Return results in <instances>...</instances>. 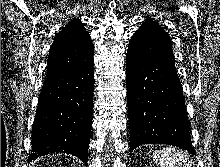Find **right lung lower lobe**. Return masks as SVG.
Instances as JSON below:
<instances>
[{
  "label": "right lung lower lobe",
  "instance_id": "98d812e1",
  "mask_svg": "<svg viewBox=\"0 0 220 167\" xmlns=\"http://www.w3.org/2000/svg\"><path fill=\"white\" fill-rule=\"evenodd\" d=\"M93 91V62L79 70L46 77L33 124L29 162L62 152L87 165Z\"/></svg>",
  "mask_w": 220,
  "mask_h": 167
}]
</instances>
